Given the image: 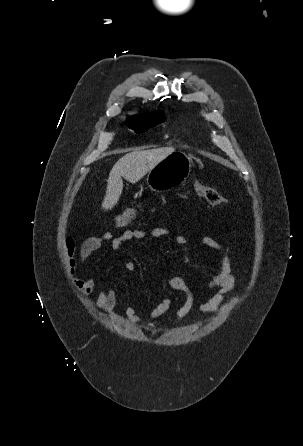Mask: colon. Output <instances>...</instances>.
<instances>
[{"label":"colon","mask_w":303,"mask_h":446,"mask_svg":"<svg viewBox=\"0 0 303 446\" xmlns=\"http://www.w3.org/2000/svg\"><path fill=\"white\" fill-rule=\"evenodd\" d=\"M194 188L196 194L213 206L225 205L227 200L214 188L205 186L198 181L194 182ZM136 208H128L118 214L112 221V225L115 228H122L128 225L137 216Z\"/></svg>","instance_id":"colon-1"}]
</instances>
